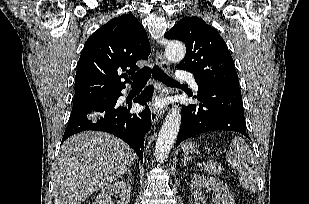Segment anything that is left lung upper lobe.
I'll return each instance as SVG.
<instances>
[{
	"mask_svg": "<svg viewBox=\"0 0 309 204\" xmlns=\"http://www.w3.org/2000/svg\"><path fill=\"white\" fill-rule=\"evenodd\" d=\"M164 37L185 43L186 55L177 65L196 79L239 88L233 59L217 30L198 17L182 18Z\"/></svg>",
	"mask_w": 309,
	"mask_h": 204,
	"instance_id": "1",
	"label": "left lung upper lobe"
}]
</instances>
